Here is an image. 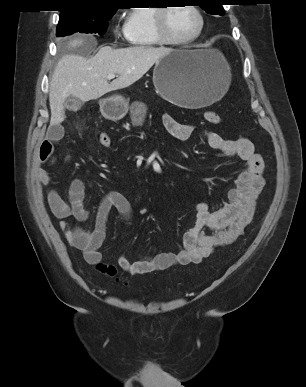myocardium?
<instances>
[{"label":"myocardium","instance_id":"obj_1","mask_svg":"<svg viewBox=\"0 0 306 387\" xmlns=\"http://www.w3.org/2000/svg\"><path fill=\"white\" fill-rule=\"evenodd\" d=\"M191 8L194 13L197 15L199 20V25L196 32L188 38L185 39H176L172 37L167 28V15L172 7L163 6L155 9L154 13V29L155 33L162 44L166 45H188L196 41L201 34L203 33L205 27V18L201 9L194 4L187 5Z\"/></svg>","mask_w":306,"mask_h":387}]
</instances>
